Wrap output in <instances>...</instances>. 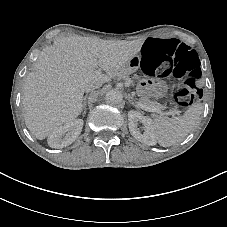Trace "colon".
Masks as SVG:
<instances>
[{
  "instance_id": "colon-1",
  "label": "colon",
  "mask_w": 227,
  "mask_h": 227,
  "mask_svg": "<svg viewBox=\"0 0 227 227\" xmlns=\"http://www.w3.org/2000/svg\"><path fill=\"white\" fill-rule=\"evenodd\" d=\"M141 56L148 75L179 80L172 92L176 105L186 107L201 98L202 90L197 85L201 77L199 59L187 45L174 39L149 38L142 47Z\"/></svg>"
}]
</instances>
